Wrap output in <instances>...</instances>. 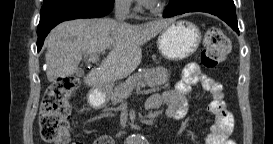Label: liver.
<instances>
[{
	"mask_svg": "<svg viewBox=\"0 0 273 144\" xmlns=\"http://www.w3.org/2000/svg\"><path fill=\"white\" fill-rule=\"evenodd\" d=\"M174 19H159L141 25L118 23L110 18L76 19L57 25L46 38L47 79L73 75L83 54L104 53L99 67L84 78L89 86L109 85L130 75L141 63V45L154 38Z\"/></svg>",
	"mask_w": 273,
	"mask_h": 144,
	"instance_id": "obj_1",
	"label": "liver"
}]
</instances>
